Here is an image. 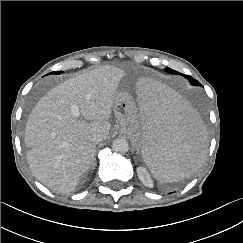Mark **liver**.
<instances>
[{"label": "liver", "instance_id": "liver-1", "mask_svg": "<svg viewBox=\"0 0 243 243\" xmlns=\"http://www.w3.org/2000/svg\"><path fill=\"white\" fill-rule=\"evenodd\" d=\"M125 72L102 66L77 74L50 90L30 113L24 141L33 175L51 190L73 192L94 163L95 134L107 138L112 108ZM80 116L75 117L71 106ZM172 156V155H171Z\"/></svg>", "mask_w": 243, "mask_h": 243}]
</instances>
